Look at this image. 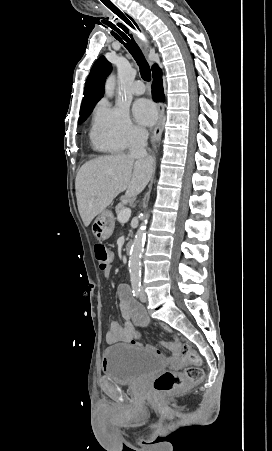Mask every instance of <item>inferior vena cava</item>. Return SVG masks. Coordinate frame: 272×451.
Listing matches in <instances>:
<instances>
[{
    "instance_id": "obj_1",
    "label": "inferior vena cava",
    "mask_w": 272,
    "mask_h": 451,
    "mask_svg": "<svg viewBox=\"0 0 272 451\" xmlns=\"http://www.w3.org/2000/svg\"><path fill=\"white\" fill-rule=\"evenodd\" d=\"M147 140L148 132H146V130H138L131 140L130 156H135V158H147L148 154L145 150Z\"/></svg>"
}]
</instances>
